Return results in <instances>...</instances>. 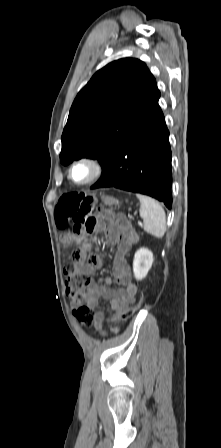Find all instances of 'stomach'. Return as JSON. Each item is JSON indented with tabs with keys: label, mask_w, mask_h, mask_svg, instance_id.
<instances>
[{
	"label": "stomach",
	"mask_w": 221,
	"mask_h": 448,
	"mask_svg": "<svg viewBox=\"0 0 221 448\" xmlns=\"http://www.w3.org/2000/svg\"><path fill=\"white\" fill-rule=\"evenodd\" d=\"M104 203L107 204V205H113V204L116 203V199L113 198V197L107 196V197L104 198Z\"/></svg>",
	"instance_id": "obj_1"
}]
</instances>
